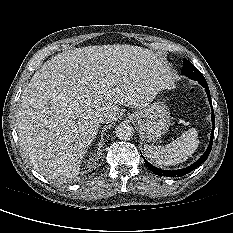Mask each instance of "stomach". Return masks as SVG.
<instances>
[{"mask_svg":"<svg viewBox=\"0 0 233 233\" xmlns=\"http://www.w3.org/2000/svg\"><path fill=\"white\" fill-rule=\"evenodd\" d=\"M129 118L140 127L143 138L147 142L156 141L162 134L166 133L171 125L170 111L161 101L133 112Z\"/></svg>","mask_w":233,"mask_h":233,"instance_id":"obj_1","label":"stomach"}]
</instances>
